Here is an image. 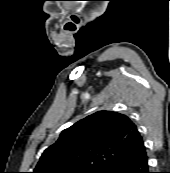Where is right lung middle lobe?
Returning <instances> with one entry per match:
<instances>
[{
  "mask_svg": "<svg viewBox=\"0 0 170 173\" xmlns=\"http://www.w3.org/2000/svg\"><path fill=\"white\" fill-rule=\"evenodd\" d=\"M104 170H85V171H75L74 173H102Z\"/></svg>",
  "mask_w": 170,
  "mask_h": 173,
  "instance_id": "right-lung-middle-lobe-1",
  "label": "right lung middle lobe"
}]
</instances>
